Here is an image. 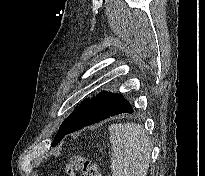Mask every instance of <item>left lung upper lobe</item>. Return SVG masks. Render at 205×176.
I'll use <instances>...</instances> for the list:
<instances>
[{
    "label": "left lung upper lobe",
    "instance_id": "left-lung-upper-lobe-1",
    "mask_svg": "<svg viewBox=\"0 0 205 176\" xmlns=\"http://www.w3.org/2000/svg\"><path fill=\"white\" fill-rule=\"evenodd\" d=\"M77 109L74 110V112L67 117L63 123L61 124L59 131L57 132L53 142H52V146H56L63 138L65 131L67 130V128L69 127L72 119L74 118L75 114H76Z\"/></svg>",
    "mask_w": 205,
    "mask_h": 176
}]
</instances>
